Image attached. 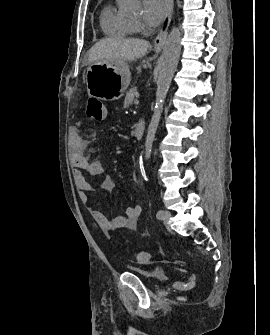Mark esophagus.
<instances>
[{"instance_id": "1", "label": "esophagus", "mask_w": 270, "mask_h": 335, "mask_svg": "<svg viewBox=\"0 0 270 335\" xmlns=\"http://www.w3.org/2000/svg\"><path fill=\"white\" fill-rule=\"evenodd\" d=\"M173 6H174L173 0H168V9H167L166 16L163 20L162 28L154 40V47L157 50H160L161 48H163L165 44V41H166V38L169 32V28L171 25Z\"/></svg>"}]
</instances>
